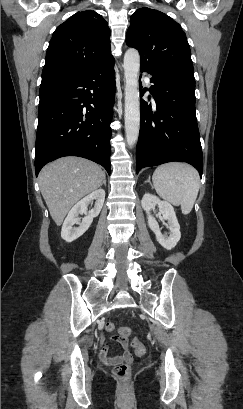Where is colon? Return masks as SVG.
<instances>
[{
  "label": "colon",
  "instance_id": "1",
  "mask_svg": "<svg viewBox=\"0 0 243 409\" xmlns=\"http://www.w3.org/2000/svg\"><path fill=\"white\" fill-rule=\"evenodd\" d=\"M106 329L109 332H113L117 330V339L120 341L128 340V338L133 336L131 329L126 328V327H121L117 329L116 325L112 322L107 323ZM131 344L136 354L142 355L145 353L146 351L145 346L140 341H138L136 338L132 339ZM113 374L119 380L125 383H128L131 377V366L129 365L128 362L118 364L113 368Z\"/></svg>",
  "mask_w": 243,
  "mask_h": 409
}]
</instances>
